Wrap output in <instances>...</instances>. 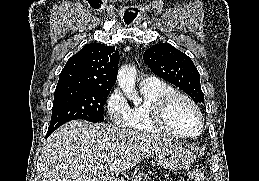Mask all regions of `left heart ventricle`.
Listing matches in <instances>:
<instances>
[{"label": "left heart ventricle", "mask_w": 259, "mask_h": 181, "mask_svg": "<svg viewBox=\"0 0 259 181\" xmlns=\"http://www.w3.org/2000/svg\"><path fill=\"white\" fill-rule=\"evenodd\" d=\"M171 125L178 131L194 134L199 129V119L192 107L183 100H178L169 113Z\"/></svg>", "instance_id": "1"}]
</instances>
